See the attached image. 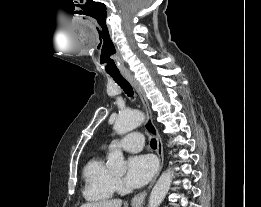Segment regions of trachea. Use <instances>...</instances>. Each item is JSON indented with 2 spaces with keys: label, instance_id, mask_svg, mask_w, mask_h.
Wrapping results in <instances>:
<instances>
[{
  "label": "trachea",
  "instance_id": "trachea-1",
  "mask_svg": "<svg viewBox=\"0 0 261 207\" xmlns=\"http://www.w3.org/2000/svg\"><path fill=\"white\" fill-rule=\"evenodd\" d=\"M110 76L114 79V81L124 90V92L129 96L133 97L134 92L131 87V85L128 83V81L120 74H110ZM151 147L153 149L157 148V141L155 139H151Z\"/></svg>",
  "mask_w": 261,
  "mask_h": 207
}]
</instances>
